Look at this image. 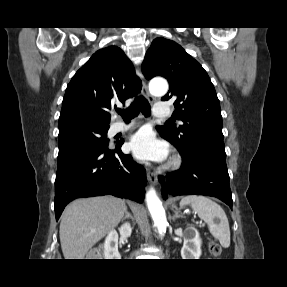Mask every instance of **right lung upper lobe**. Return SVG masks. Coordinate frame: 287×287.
<instances>
[{"mask_svg":"<svg viewBox=\"0 0 287 287\" xmlns=\"http://www.w3.org/2000/svg\"><path fill=\"white\" fill-rule=\"evenodd\" d=\"M134 67L117 46L98 50L67 86L59 127L76 122L109 125L115 101L124 104L141 90Z\"/></svg>","mask_w":287,"mask_h":287,"instance_id":"obj_1","label":"right lung upper lobe"}]
</instances>
